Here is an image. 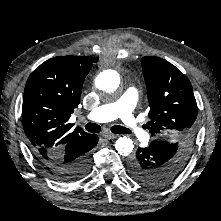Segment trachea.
Here are the masks:
<instances>
[{
    "label": "trachea",
    "mask_w": 221,
    "mask_h": 221,
    "mask_svg": "<svg viewBox=\"0 0 221 221\" xmlns=\"http://www.w3.org/2000/svg\"><path fill=\"white\" fill-rule=\"evenodd\" d=\"M85 129L91 133H99L101 130V127L95 123H88L85 125ZM111 131L115 134H129L130 133L128 129L120 125L112 126Z\"/></svg>",
    "instance_id": "3493384b"
}]
</instances>
